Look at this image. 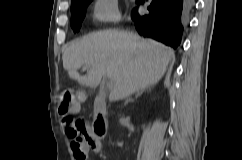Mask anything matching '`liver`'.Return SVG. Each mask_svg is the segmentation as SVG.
<instances>
[{
	"label": "liver",
	"mask_w": 242,
	"mask_h": 160,
	"mask_svg": "<svg viewBox=\"0 0 242 160\" xmlns=\"http://www.w3.org/2000/svg\"><path fill=\"white\" fill-rule=\"evenodd\" d=\"M174 51L153 40L124 31H102L72 42L64 51L63 67L80 84L96 88L102 77L112 82L109 100L124 99L163 76ZM89 67L86 75L78 69Z\"/></svg>",
	"instance_id": "6515ba94"
}]
</instances>
